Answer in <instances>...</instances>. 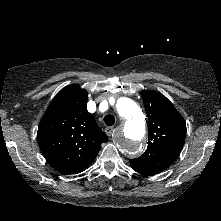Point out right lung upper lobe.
Returning a JSON list of instances; mask_svg holds the SVG:
<instances>
[{
	"instance_id": "obj_1",
	"label": "right lung upper lobe",
	"mask_w": 221,
	"mask_h": 221,
	"mask_svg": "<svg viewBox=\"0 0 221 221\" xmlns=\"http://www.w3.org/2000/svg\"><path fill=\"white\" fill-rule=\"evenodd\" d=\"M88 94L78 85L63 88L52 100L38 127V143L49 164L64 174L84 171L108 141L87 111Z\"/></svg>"
}]
</instances>
